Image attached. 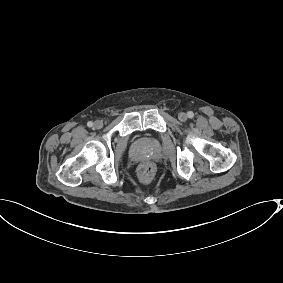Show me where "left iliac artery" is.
I'll list each match as a JSON object with an SVG mask.
<instances>
[{
	"mask_svg": "<svg viewBox=\"0 0 283 283\" xmlns=\"http://www.w3.org/2000/svg\"><path fill=\"white\" fill-rule=\"evenodd\" d=\"M187 116H188L189 118H193V117H194V113H193L192 111H189V112L187 113Z\"/></svg>",
	"mask_w": 283,
	"mask_h": 283,
	"instance_id": "1",
	"label": "left iliac artery"
}]
</instances>
